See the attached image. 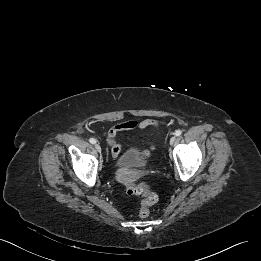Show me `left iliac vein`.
I'll return each instance as SVG.
<instances>
[{
  "instance_id": "obj_1",
  "label": "left iliac vein",
  "mask_w": 261,
  "mask_h": 261,
  "mask_svg": "<svg viewBox=\"0 0 261 261\" xmlns=\"http://www.w3.org/2000/svg\"><path fill=\"white\" fill-rule=\"evenodd\" d=\"M175 140H176V137L175 136H172L170 138V144L173 145L175 143Z\"/></svg>"
}]
</instances>
